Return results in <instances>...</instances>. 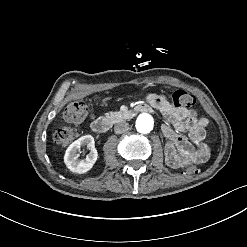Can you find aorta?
Returning <instances> with one entry per match:
<instances>
[{"label":"aorta","instance_id":"aorta-1","mask_svg":"<svg viewBox=\"0 0 247 247\" xmlns=\"http://www.w3.org/2000/svg\"><path fill=\"white\" fill-rule=\"evenodd\" d=\"M154 127V121L151 115L142 113L136 120V128L139 133H149Z\"/></svg>","mask_w":247,"mask_h":247}]
</instances>
